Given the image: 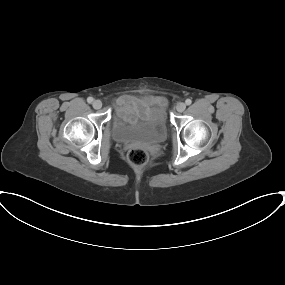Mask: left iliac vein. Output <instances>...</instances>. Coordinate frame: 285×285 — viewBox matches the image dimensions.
<instances>
[{
    "label": "left iliac vein",
    "instance_id": "obj_1",
    "mask_svg": "<svg viewBox=\"0 0 285 285\" xmlns=\"http://www.w3.org/2000/svg\"><path fill=\"white\" fill-rule=\"evenodd\" d=\"M185 108H186V105L183 102H179L176 106V110L178 112H183L185 110Z\"/></svg>",
    "mask_w": 285,
    "mask_h": 285
}]
</instances>
